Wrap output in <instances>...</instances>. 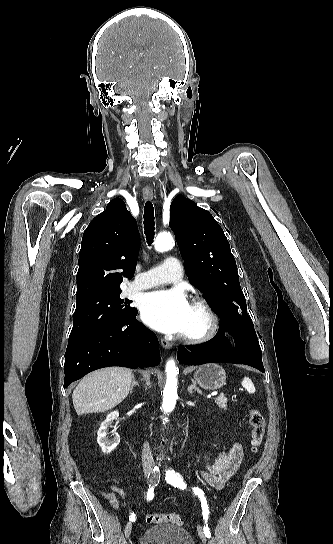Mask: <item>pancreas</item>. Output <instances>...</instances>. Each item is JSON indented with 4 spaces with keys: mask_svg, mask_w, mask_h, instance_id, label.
<instances>
[{
    "mask_svg": "<svg viewBox=\"0 0 333 544\" xmlns=\"http://www.w3.org/2000/svg\"><path fill=\"white\" fill-rule=\"evenodd\" d=\"M227 397L224 394H221L215 399L216 404L221 409H226L227 407Z\"/></svg>",
    "mask_w": 333,
    "mask_h": 544,
    "instance_id": "cf45deb5",
    "label": "pancreas"
}]
</instances>
